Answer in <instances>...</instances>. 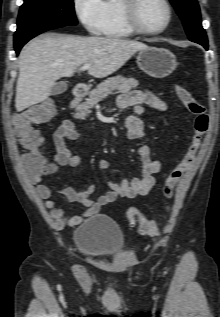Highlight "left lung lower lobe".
<instances>
[{
	"label": "left lung lower lobe",
	"instance_id": "1",
	"mask_svg": "<svg viewBox=\"0 0 220 317\" xmlns=\"http://www.w3.org/2000/svg\"><path fill=\"white\" fill-rule=\"evenodd\" d=\"M191 41H192V40H191ZM193 42H194V41H193ZM196 43H199V44H201L202 46H204L205 49H208V44H207V42L198 41V42H196Z\"/></svg>",
	"mask_w": 220,
	"mask_h": 317
}]
</instances>
